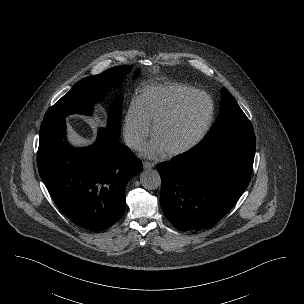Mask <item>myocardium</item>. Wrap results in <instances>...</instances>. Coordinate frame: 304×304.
I'll return each instance as SVG.
<instances>
[{
    "mask_svg": "<svg viewBox=\"0 0 304 304\" xmlns=\"http://www.w3.org/2000/svg\"><path fill=\"white\" fill-rule=\"evenodd\" d=\"M196 99H204L208 103V112L204 119V122L192 140H190L188 143H186L185 145H183L179 148L167 151V155L170 157L180 156V155H183V154L191 151L203 140V138L209 131L210 126L213 121V117H214L213 100L206 93L201 92V91H195V92L185 96L180 101H178L171 109H169L164 114H162L159 118H157L152 125V134L155 137V135L161 125H163L165 122H167L170 119H172L173 117H175L189 102L196 100Z\"/></svg>",
    "mask_w": 304,
    "mask_h": 304,
    "instance_id": "f54148a6",
    "label": "myocardium"
}]
</instances>
